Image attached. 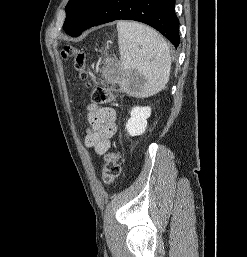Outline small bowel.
Wrapping results in <instances>:
<instances>
[{
	"label": "small bowel",
	"mask_w": 247,
	"mask_h": 257,
	"mask_svg": "<svg viewBox=\"0 0 247 257\" xmlns=\"http://www.w3.org/2000/svg\"><path fill=\"white\" fill-rule=\"evenodd\" d=\"M89 129L85 136V146L99 155L110 147V141L116 132V111L111 107L91 105L87 109Z\"/></svg>",
	"instance_id": "c3829d8e"
}]
</instances>
